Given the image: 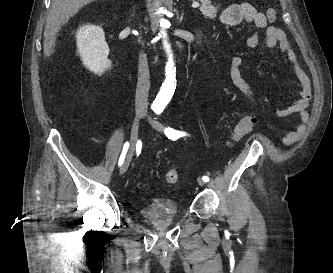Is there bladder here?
Wrapping results in <instances>:
<instances>
[{"label": "bladder", "instance_id": "obj_1", "mask_svg": "<svg viewBox=\"0 0 333 273\" xmlns=\"http://www.w3.org/2000/svg\"><path fill=\"white\" fill-rule=\"evenodd\" d=\"M142 218L156 227H166L181 216L178 205L172 200H158L139 209Z\"/></svg>", "mask_w": 333, "mask_h": 273}]
</instances>
